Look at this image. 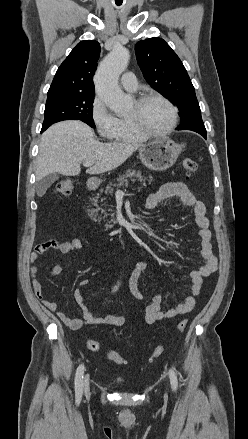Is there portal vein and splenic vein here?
I'll use <instances>...</instances> for the list:
<instances>
[{"label": "portal vein and splenic vein", "instance_id": "portal-vein-and-splenic-vein-1", "mask_svg": "<svg viewBox=\"0 0 248 439\" xmlns=\"http://www.w3.org/2000/svg\"><path fill=\"white\" fill-rule=\"evenodd\" d=\"M93 161H86V162H83V165L85 166V167H89V166H91V165H93ZM117 193H123L121 190H118L117 191Z\"/></svg>", "mask_w": 248, "mask_h": 439}]
</instances>
